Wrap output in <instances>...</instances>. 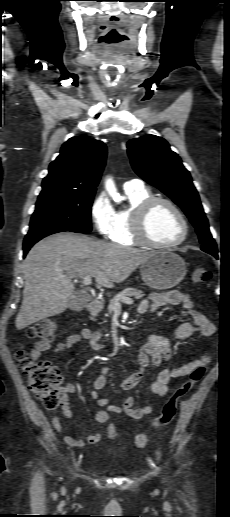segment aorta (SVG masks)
<instances>
[{"label":"aorta","mask_w":230,"mask_h":517,"mask_svg":"<svg viewBox=\"0 0 230 517\" xmlns=\"http://www.w3.org/2000/svg\"><path fill=\"white\" fill-rule=\"evenodd\" d=\"M105 188H106V190L108 191L109 195L112 197V199L115 202H120L121 201V196L117 192L116 186H115L114 181L112 180V178L106 179V181H105Z\"/></svg>","instance_id":"obj_1"}]
</instances>
